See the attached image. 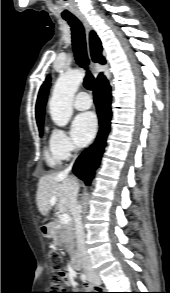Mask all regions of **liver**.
Wrapping results in <instances>:
<instances>
[{
	"mask_svg": "<svg viewBox=\"0 0 170 293\" xmlns=\"http://www.w3.org/2000/svg\"><path fill=\"white\" fill-rule=\"evenodd\" d=\"M75 184H78L76 178L64 172L42 176L39 179L36 194V202L41 214L43 216L48 214L52 206L49 200L52 197L57 198V209L60 213H65L68 210L72 213L71 190ZM51 227L52 223H49L47 228Z\"/></svg>",
	"mask_w": 170,
	"mask_h": 293,
	"instance_id": "obj_1",
	"label": "liver"
}]
</instances>
